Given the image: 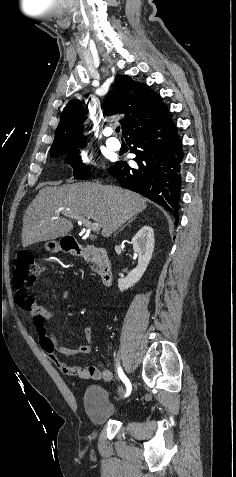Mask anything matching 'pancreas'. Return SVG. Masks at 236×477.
<instances>
[{"label":"pancreas","instance_id":"pancreas-1","mask_svg":"<svg viewBox=\"0 0 236 477\" xmlns=\"http://www.w3.org/2000/svg\"><path fill=\"white\" fill-rule=\"evenodd\" d=\"M85 260L87 262H91L94 265L92 266V270L100 273L101 262L99 258V254L95 251L92 247L87 248V254L85 255Z\"/></svg>","mask_w":236,"mask_h":477}]
</instances>
